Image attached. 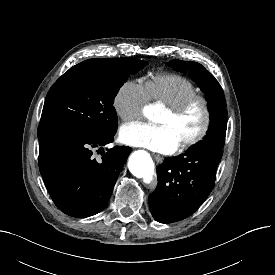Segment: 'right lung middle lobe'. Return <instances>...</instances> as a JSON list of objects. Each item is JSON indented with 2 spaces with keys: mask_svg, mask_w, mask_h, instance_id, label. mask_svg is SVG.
Segmentation results:
<instances>
[{
  "mask_svg": "<svg viewBox=\"0 0 275 275\" xmlns=\"http://www.w3.org/2000/svg\"><path fill=\"white\" fill-rule=\"evenodd\" d=\"M147 64L135 58H95L71 67L46 96L39 141L116 132L114 98L130 74Z\"/></svg>",
  "mask_w": 275,
  "mask_h": 275,
  "instance_id": "1",
  "label": "right lung middle lobe"
}]
</instances>
